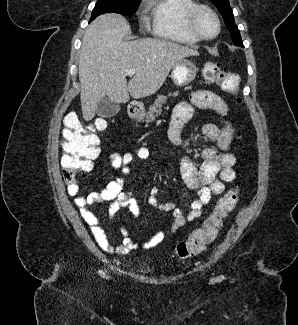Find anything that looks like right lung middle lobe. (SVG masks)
I'll list each match as a JSON object with an SVG mask.
<instances>
[{"mask_svg": "<svg viewBox=\"0 0 298 325\" xmlns=\"http://www.w3.org/2000/svg\"><path fill=\"white\" fill-rule=\"evenodd\" d=\"M140 0H98L92 11L91 20L97 16L115 12L122 15H130L136 12Z\"/></svg>", "mask_w": 298, "mask_h": 325, "instance_id": "dd1d6c3e", "label": "right lung middle lobe"}]
</instances>
